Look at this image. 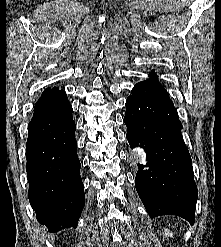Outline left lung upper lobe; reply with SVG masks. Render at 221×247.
Instances as JSON below:
<instances>
[{
  "label": "left lung upper lobe",
  "mask_w": 221,
  "mask_h": 247,
  "mask_svg": "<svg viewBox=\"0 0 221 247\" xmlns=\"http://www.w3.org/2000/svg\"><path fill=\"white\" fill-rule=\"evenodd\" d=\"M137 90L142 91L150 96H153L164 101L172 102L166 89L158 82L155 71L150 72V78L146 81L137 83L134 86Z\"/></svg>",
  "instance_id": "5c2ea615"
}]
</instances>
